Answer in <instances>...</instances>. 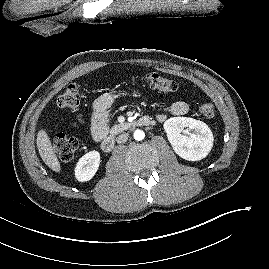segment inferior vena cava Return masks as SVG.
Wrapping results in <instances>:
<instances>
[{"instance_id":"obj_1","label":"inferior vena cava","mask_w":269,"mask_h":269,"mask_svg":"<svg viewBox=\"0 0 269 269\" xmlns=\"http://www.w3.org/2000/svg\"><path fill=\"white\" fill-rule=\"evenodd\" d=\"M129 134L128 133H123L120 134L117 138L116 141L117 143L121 144V143H125L128 140Z\"/></svg>"}]
</instances>
